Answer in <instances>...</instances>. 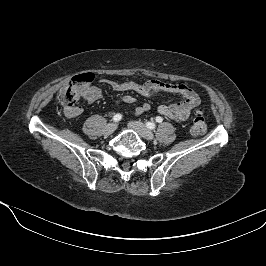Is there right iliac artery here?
<instances>
[{
	"mask_svg": "<svg viewBox=\"0 0 266 266\" xmlns=\"http://www.w3.org/2000/svg\"><path fill=\"white\" fill-rule=\"evenodd\" d=\"M122 119V115L121 114H116V115H114V117H113V121H115V122H118V121H120Z\"/></svg>",
	"mask_w": 266,
	"mask_h": 266,
	"instance_id": "obj_1",
	"label": "right iliac artery"
}]
</instances>
